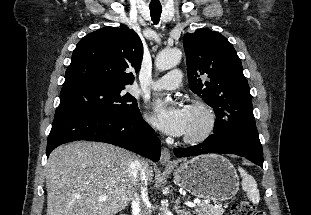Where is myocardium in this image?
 I'll list each match as a JSON object with an SVG mask.
<instances>
[{
  "label": "myocardium",
  "mask_w": 311,
  "mask_h": 215,
  "mask_svg": "<svg viewBox=\"0 0 311 215\" xmlns=\"http://www.w3.org/2000/svg\"><path fill=\"white\" fill-rule=\"evenodd\" d=\"M189 110L200 112L204 117L203 128L195 134H185L184 142L188 144H199L207 140L216 126V114L213 109L202 101H193L186 106Z\"/></svg>",
  "instance_id": "myocardium-1"
}]
</instances>
